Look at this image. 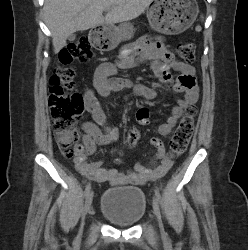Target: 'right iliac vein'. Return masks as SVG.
<instances>
[{
  "label": "right iliac vein",
  "mask_w": 248,
  "mask_h": 250,
  "mask_svg": "<svg viewBox=\"0 0 248 250\" xmlns=\"http://www.w3.org/2000/svg\"><path fill=\"white\" fill-rule=\"evenodd\" d=\"M92 200H93V192L89 191V193L86 195V198H85V204H84V210H83V218L85 217L87 212L90 210Z\"/></svg>",
  "instance_id": "63e3f726"
}]
</instances>
